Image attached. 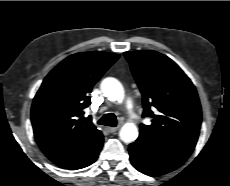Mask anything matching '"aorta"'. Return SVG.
I'll return each mask as SVG.
<instances>
[{
    "label": "aorta",
    "instance_id": "1",
    "mask_svg": "<svg viewBox=\"0 0 230 186\" xmlns=\"http://www.w3.org/2000/svg\"><path fill=\"white\" fill-rule=\"evenodd\" d=\"M101 90L104 96L111 101L121 102L124 99L122 84L115 78H105L101 82ZM120 139L125 143H132L138 137V129L134 123H126L119 132Z\"/></svg>",
    "mask_w": 230,
    "mask_h": 186
}]
</instances>
